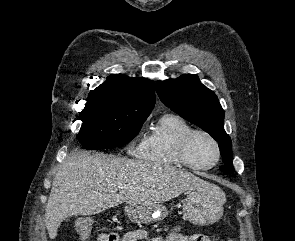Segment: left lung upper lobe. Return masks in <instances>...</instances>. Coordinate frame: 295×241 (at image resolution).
<instances>
[{
	"mask_svg": "<svg viewBox=\"0 0 295 241\" xmlns=\"http://www.w3.org/2000/svg\"><path fill=\"white\" fill-rule=\"evenodd\" d=\"M156 91L161 101L182 118L194 123L219 142L225 166L220 169L231 173L232 144L225 132L222 109L217 96L199 80L197 75L184 74L177 79L157 81Z\"/></svg>",
	"mask_w": 295,
	"mask_h": 241,
	"instance_id": "obj_1",
	"label": "left lung upper lobe"
}]
</instances>
